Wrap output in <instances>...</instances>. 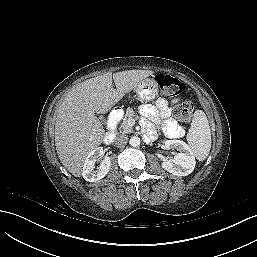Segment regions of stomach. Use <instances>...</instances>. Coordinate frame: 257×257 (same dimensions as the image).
Returning a JSON list of instances; mask_svg holds the SVG:
<instances>
[{
    "label": "stomach",
    "instance_id": "0dacf381",
    "mask_svg": "<svg viewBox=\"0 0 257 257\" xmlns=\"http://www.w3.org/2000/svg\"><path fill=\"white\" fill-rule=\"evenodd\" d=\"M134 90L140 100L150 102L158 95V84L153 78H145L138 83Z\"/></svg>",
    "mask_w": 257,
    "mask_h": 257
}]
</instances>
